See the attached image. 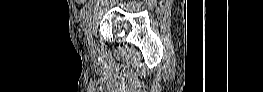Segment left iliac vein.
I'll list each match as a JSON object with an SVG mask.
<instances>
[{"label": "left iliac vein", "instance_id": "1", "mask_svg": "<svg viewBox=\"0 0 263 92\" xmlns=\"http://www.w3.org/2000/svg\"><path fill=\"white\" fill-rule=\"evenodd\" d=\"M88 48L91 52H94L95 51V42H94V39H93V32L91 30L90 32V36H89V40H88Z\"/></svg>", "mask_w": 263, "mask_h": 92}]
</instances>
